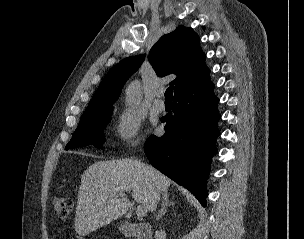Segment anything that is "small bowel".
<instances>
[{
  "instance_id": "1",
  "label": "small bowel",
  "mask_w": 304,
  "mask_h": 239,
  "mask_svg": "<svg viewBox=\"0 0 304 239\" xmlns=\"http://www.w3.org/2000/svg\"><path fill=\"white\" fill-rule=\"evenodd\" d=\"M60 237V230H57L54 234V239H58Z\"/></svg>"
}]
</instances>
